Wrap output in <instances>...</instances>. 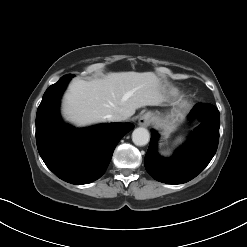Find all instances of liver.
I'll use <instances>...</instances> for the list:
<instances>
[{"label": "liver", "instance_id": "liver-1", "mask_svg": "<svg viewBox=\"0 0 247 247\" xmlns=\"http://www.w3.org/2000/svg\"><path fill=\"white\" fill-rule=\"evenodd\" d=\"M153 72H116L101 79H74L63 100V114L76 126L104 122L107 115L131 117L136 109L165 101Z\"/></svg>", "mask_w": 247, "mask_h": 247}]
</instances>
